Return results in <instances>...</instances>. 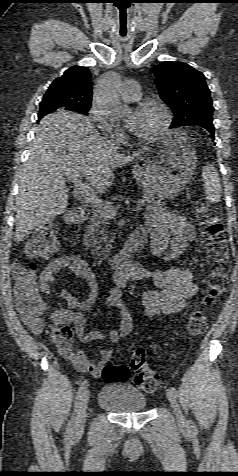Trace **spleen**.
Listing matches in <instances>:
<instances>
[{
    "label": "spleen",
    "mask_w": 238,
    "mask_h": 476,
    "mask_svg": "<svg viewBox=\"0 0 238 476\" xmlns=\"http://www.w3.org/2000/svg\"><path fill=\"white\" fill-rule=\"evenodd\" d=\"M203 186L206 199L218 203L221 199L222 187L217 170L212 164L207 163L202 170Z\"/></svg>",
    "instance_id": "obj_1"
}]
</instances>
